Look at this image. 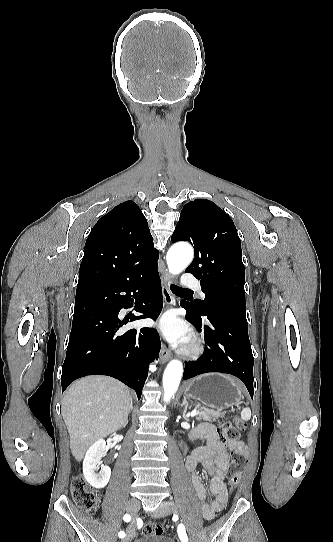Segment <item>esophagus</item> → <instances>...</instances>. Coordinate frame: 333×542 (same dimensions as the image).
Masks as SVG:
<instances>
[{"label": "esophagus", "instance_id": "esophagus-1", "mask_svg": "<svg viewBox=\"0 0 333 542\" xmlns=\"http://www.w3.org/2000/svg\"><path fill=\"white\" fill-rule=\"evenodd\" d=\"M161 279H162V294H163L164 301L168 307H175L176 299L170 292L169 285H170L171 277L167 270L163 271ZM171 356H172L171 351L167 348L166 344L162 343L161 355H160L161 363L164 364L165 362H168Z\"/></svg>", "mask_w": 333, "mask_h": 542}]
</instances>
